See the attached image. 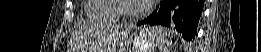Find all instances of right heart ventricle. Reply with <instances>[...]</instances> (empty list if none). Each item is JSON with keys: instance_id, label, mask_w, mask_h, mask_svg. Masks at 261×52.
I'll list each match as a JSON object with an SVG mask.
<instances>
[{"instance_id": "e07e8e85", "label": "right heart ventricle", "mask_w": 261, "mask_h": 52, "mask_svg": "<svg viewBox=\"0 0 261 52\" xmlns=\"http://www.w3.org/2000/svg\"><path fill=\"white\" fill-rule=\"evenodd\" d=\"M115 0H89L85 9L87 19L96 24H116L121 20L115 14Z\"/></svg>"}]
</instances>
